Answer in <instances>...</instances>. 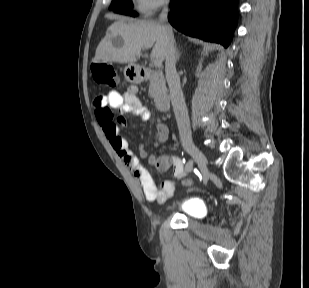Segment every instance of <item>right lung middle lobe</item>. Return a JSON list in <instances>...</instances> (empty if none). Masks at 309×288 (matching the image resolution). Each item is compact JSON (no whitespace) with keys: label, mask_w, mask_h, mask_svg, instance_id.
Here are the masks:
<instances>
[{"label":"right lung middle lobe","mask_w":309,"mask_h":288,"mask_svg":"<svg viewBox=\"0 0 309 288\" xmlns=\"http://www.w3.org/2000/svg\"><path fill=\"white\" fill-rule=\"evenodd\" d=\"M132 6L131 0H112L110 9L117 13L136 16L137 13L132 12Z\"/></svg>","instance_id":"1"}]
</instances>
